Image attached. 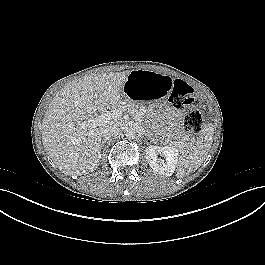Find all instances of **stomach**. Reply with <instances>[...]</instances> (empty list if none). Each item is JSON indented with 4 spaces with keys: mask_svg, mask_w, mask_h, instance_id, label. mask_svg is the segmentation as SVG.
<instances>
[{
    "mask_svg": "<svg viewBox=\"0 0 265 265\" xmlns=\"http://www.w3.org/2000/svg\"><path fill=\"white\" fill-rule=\"evenodd\" d=\"M172 79L164 74L135 70L130 72L123 87L126 98L135 99V105L140 114L155 118L164 113L168 105L167 93Z\"/></svg>",
    "mask_w": 265,
    "mask_h": 265,
    "instance_id": "1",
    "label": "stomach"
}]
</instances>
